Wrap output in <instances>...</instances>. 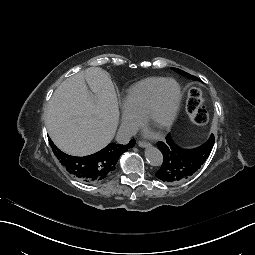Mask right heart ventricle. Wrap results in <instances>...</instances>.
<instances>
[{
	"instance_id": "obj_1",
	"label": "right heart ventricle",
	"mask_w": 255,
	"mask_h": 255,
	"mask_svg": "<svg viewBox=\"0 0 255 255\" xmlns=\"http://www.w3.org/2000/svg\"><path fill=\"white\" fill-rule=\"evenodd\" d=\"M164 78H146L131 85L121 98L123 110L139 119L150 104L151 97Z\"/></svg>"
}]
</instances>
